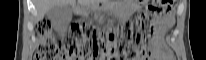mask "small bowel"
<instances>
[{"instance_id": "obj_1", "label": "small bowel", "mask_w": 206, "mask_h": 60, "mask_svg": "<svg viewBox=\"0 0 206 60\" xmlns=\"http://www.w3.org/2000/svg\"><path fill=\"white\" fill-rule=\"evenodd\" d=\"M167 26H159L155 30V37L153 39L152 44V51L150 54V58L152 60H172L173 57L170 53V51L166 48V46L163 43V34L166 30ZM145 58H138L137 60H143Z\"/></svg>"}]
</instances>
